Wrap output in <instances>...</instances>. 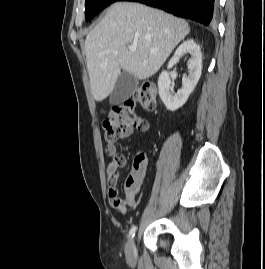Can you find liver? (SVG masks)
Here are the masks:
<instances>
[{
  "mask_svg": "<svg viewBox=\"0 0 265 269\" xmlns=\"http://www.w3.org/2000/svg\"><path fill=\"white\" fill-rule=\"evenodd\" d=\"M190 32L188 23L139 3L117 2L86 36L85 53L93 97L113 91L121 70L144 80L154 75ZM136 46L130 52L128 46ZM157 50L156 53H151Z\"/></svg>",
  "mask_w": 265,
  "mask_h": 269,
  "instance_id": "1",
  "label": "liver"
}]
</instances>
